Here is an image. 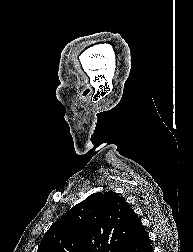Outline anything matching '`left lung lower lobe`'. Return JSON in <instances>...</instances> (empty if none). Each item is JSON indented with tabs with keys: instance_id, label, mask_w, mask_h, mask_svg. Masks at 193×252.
Wrapping results in <instances>:
<instances>
[{
	"instance_id": "1",
	"label": "left lung lower lobe",
	"mask_w": 193,
	"mask_h": 252,
	"mask_svg": "<svg viewBox=\"0 0 193 252\" xmlns=\"http://www.w3.org/2000/svg\"><path fill=\"white\" fill-rule=\"evenodd\" d=\"M124 252H154L147 232L141 222L135 228Z\"/></svg>"
}]
</instances>
